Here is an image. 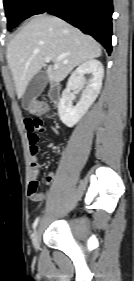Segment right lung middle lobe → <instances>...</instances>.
<instances>
[{"label":"right lung middle lobe","instance_id":"obj_1","mask_svg":"<svg viewBox=\"0 0 134 281\" xmlns=\"http://www.w3.org/2000/svg\"><path fill=\"white\" fill-rule=\"evenodd\" d=\"M5 14L9 30L27 19L37 0H4Z\"/></svg>","mask_w":134,"mask_h":281}]
</instances>
